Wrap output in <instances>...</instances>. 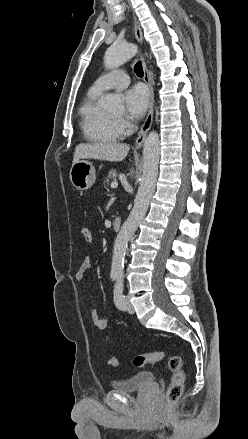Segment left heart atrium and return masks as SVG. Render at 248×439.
Segmentation results:
<instances>
[{"instance_id":"obj_1","label":"left heart atrium","mask_w":248,"mask_h":439,"mask_svg":"<svg viewBox=\"0 0 248 439\" xmlns=\"http://www.w3.org/2000/svg\"><path fill=\"white\" fill-rule=\"evenodd\" d=\"M124 103L128 117L141 118L149 104V95L145 87L136 85L128 89L124 94Z\"/></svg>"}]
</instances>
